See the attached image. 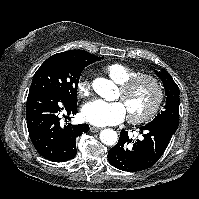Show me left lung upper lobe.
I'll use <instances>...</instances> for the list:
<instances>
[{
  "label": "left lung upper lobe",
  "mask_w": 199,
  "mask_h": 199,
  "mask_svg": "<svg viewBox=\"0 0 199 199\" xmlns=\"http://www.w3.org/2000/svg\"><path fill=\"white\" fill-rule=\"evenodd\" d=\"M156 74L163 82L167 99L164 110L161 111L152 122H166L178 126L179 88L167 71L162 70L161 72H156Z\"/></svg>",
  "instance_id": "5c2ea615"
}]
</instances>
